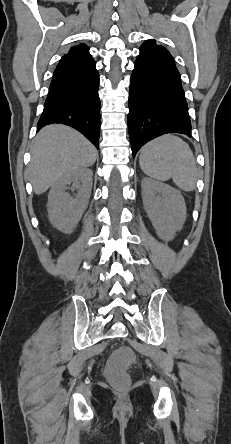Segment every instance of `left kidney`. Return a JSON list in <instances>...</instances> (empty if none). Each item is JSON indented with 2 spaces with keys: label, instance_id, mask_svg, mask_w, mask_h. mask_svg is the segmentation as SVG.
I'll return each mask as SVG.
<instances>
[{
  "label": "left kidney",
  "instance_id": "1",
  "mask_svg": "<svg viewBox=\"0 0 231 444\" xmlns=\"http://www.w3.org/2000/svg\"><path fill=\"white\" fill-rule=\"evenodd\" d=\"M142 200L157 235L166 241L174 238L186 220V205L178 190L151 178L142 180Z\"/></svg>",
  "mask_w": 231,
  "mask_h": 444
}]
</instances>
